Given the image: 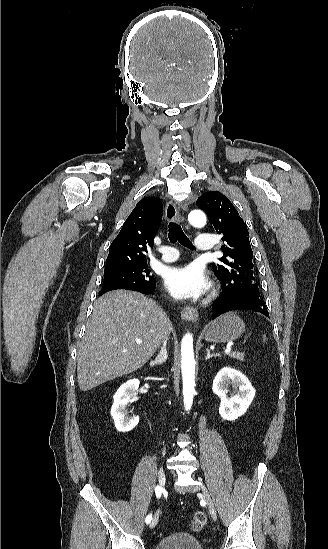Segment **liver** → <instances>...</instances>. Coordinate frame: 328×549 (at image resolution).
Masks as SVG:
<instances>
[{
  "mask_svg": "<svg viewBox=\"0 0 328 549\" xmlns=\"http://www.w3.org/2000/svg\"><path fill=\"white\" fill-rule=\"evenodd\" d=\"M172 325L160 305L135 291H111L93 305L77 357L80 391H91L106 381L143 367ZM136 339L142 343L137 345Z\"/></svg>",
  "mask_w": 328,
  "mask_h": 549,
  "instance_id": "obj_1",
  "label": "liver"
}]
</instances>
